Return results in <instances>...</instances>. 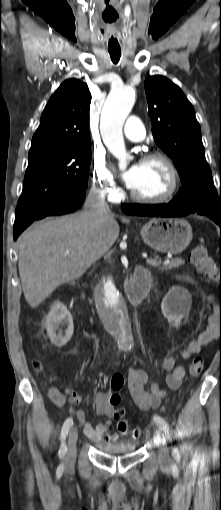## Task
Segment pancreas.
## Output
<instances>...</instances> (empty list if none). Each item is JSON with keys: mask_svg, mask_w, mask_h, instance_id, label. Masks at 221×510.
Listing matches in <instances>:
<instances>
[{"mask_svg": "<svg viewBox=\"0 0 221 510\" xmlns=\"http://www.w3.org/2000/svg\"><path fill=\"white\" fill-rule=\"evenodd\" d=\"M184 263H185V261L183 259L175 258V259H172L168 264L159 266V269L163 270V271H168V270L177 268V267L183 265Z\"/></svg>", "mask_w": 221, "mask_h": 510, "instance_id": "1", "label": "pancreas"}]
</instances>
